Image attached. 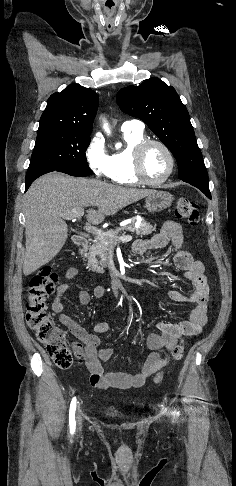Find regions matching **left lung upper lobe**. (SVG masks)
Returning <instances> with one entry per match:
<instances>
[{"mask_svg": "<svg viewBox=\"0 0 236 486\" xmlns=\"http://www.w3.org/2000/svg\"><path fill=\"white\" fill-rule=\"evenodd\" d=\"M120 109L144 121L177 160L179 179L211 198L208 175L190 116L172 86L150 78L139 86L119 90Z\"/></svg>", "mask_w": 236, "mask_h": 486, "instance_id": "obj_1", "label": "left lung upper lobe"}]
</instances>
